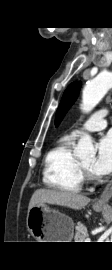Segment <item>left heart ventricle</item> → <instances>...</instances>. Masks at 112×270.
<instances>
[{"mask_svg":"<svg viewBox=\"0 0 112 270\" xmlns=\"http://www.w3.org/2000/svg\"><path fill=\"white\" fill-rule=\"evenodd\" d=\"M81 163L87 167V168H91L92 164H93V159H87V160H82Z\"/></svg>","mask_w":112,"mask_h":270,"instance_id":"obj_1","label":"left heart ventricle"}]
</instances>
